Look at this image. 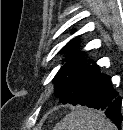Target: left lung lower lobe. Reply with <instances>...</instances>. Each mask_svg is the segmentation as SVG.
I'll return each mask as SVG.
<instances>
[{
    "label": "left lung lower lobe",
    "instance_id": "left-lung-lower-lobe-1",
    "mask_svg": "<svg viewBox=\"0 0 123 130\" xmlns=\"http://www.w3.org/2000/svg\"><path fill=\"white\" fill-rule=\"evenodd\" d=\"M77 104L103 110L121 128V97L113 89L110 78L99 72L98 66L91 71Z\"/></svg>",
    "mask_w": 123,
    "mask_h": 130
}]
</instances>
